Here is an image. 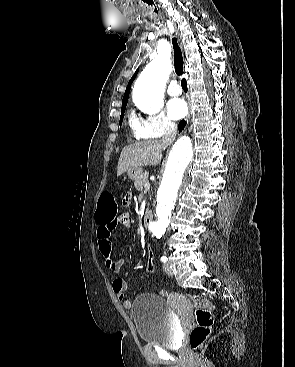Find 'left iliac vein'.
<instances>
[{"label": "left iliac vein", "mask_w": 295, "mask_h": 367, "mask_svg": "<svg viewBox=\"0 0 295 367\" xmlns=\"http://www.w3.org/2000/svg\"><path fill=\"white\" fill-rule=\"evenodd\" d=\"M163 269H164V271L169 275V276H173V274H174V271H173V269H172V267H171V265H170V263H165L164 265H163Z\"/></svg>", "instance_id": "1"}]
</instances>
